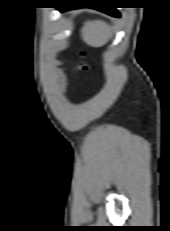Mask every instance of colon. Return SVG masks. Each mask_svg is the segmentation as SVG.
<instances>
[{"label":"colon","instance_id":"1","mask_svg":"<svg viewBox=\"0 0 170 231\" xmlns=\"http://www.w3.org/2000/svg\"><path fill=\"white\" fill-rule=\"evenodd\" d=\"M76 68L81 71H86L87 64L84 61H80L79 63L76 64Z\"/></svg>","mask_w":170,"mask_h":231}]
</instances>
